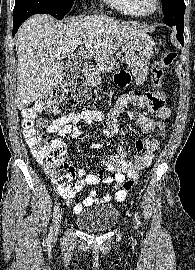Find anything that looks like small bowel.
Masks as SVG:
<instances>
[{"instance_id":"small-bowel-1","label":"small bowel","mask_w":195,"mask_h":270,"mask_svg":"<svg viewBox=\"0 0 195 270\" xmlns=\"http://www.w3.org/2000/svg\"><path fill=\"white\" fill-rule=\"evenodd\" d=\"M115 82L119 86H126L130 82V75L125 72H119L115 76ZM128 105H134L145 109L148 112L156 115L160 119H167L171 115V110L164 104L160 107H149L146 104L145 96L123 94L121 95L114 106L112 107L108 119L107 126L104 129V134L108 137L116 136L121 130V125L118 121L119 116ZM130 117L133 118L146 133H151L147 137H136L134 149L139 154L133 159H128L126 152L122 146H118V152L102 162L103 170L96 174L86 175L84 167L75 168L71 164H67L70 177L76 179L73 187H70L67 192H59V194L69 204H74L76 195L82 191L85 186L95 185L100 182L110 185L115 184L114 199L123 201L127 192L123 191L120 184L126 178L138 177L139 171L147 168L153 161L156 151L159 149L160 140L154 135L157 130L162 133L164 125L144 114L131 112ZM103 120V114L97 110L84 109L82 111H73L55 119L48 127V131L52 134H57L60 137H65L71 134L73 137H79L82 132L78 128L80 122L87 125L99 124ZM100 144H95L93 148L100 147ZM114 173L112 176H105L104 172ZM112 196L105 194L103 197H98L95 190H90L82 203L74 204V213H80L84 207H90L95 204H103L109 202Z\"/></svg>"}]
</instances>
